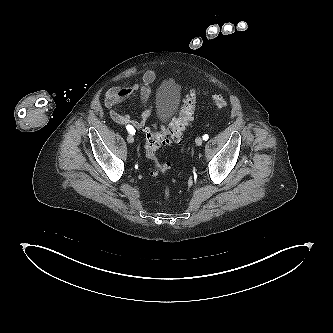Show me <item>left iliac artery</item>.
<instances>
[{"instance_id":"left-iliac-artery-1","label":"left iliac artery","mask_w":333,"mask_h":333,"mask_svg":"<svg viewBox=\"0 0 333 333\" xmlns=\"http://www.w3.org/2000/svg\"><path fill=\"white\" fill-rule=\"evenodd\" d=\"M208 138H209V136L207 134H205V135L202 136V139L205 140V141H207Z\"/></svg>"}]
</instances>
